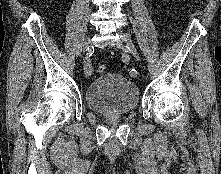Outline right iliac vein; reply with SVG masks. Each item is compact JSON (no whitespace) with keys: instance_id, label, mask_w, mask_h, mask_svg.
<instances>
[{"instance_id":"obj_1","label":"right iliac vein","mask_w":221,"mask_h":174,"mask_svg":"<svg viewBox=\"0 0 221 174\" xmlns=\"http://www.w3.org/2000/svg\"><path fill=\"white\" fill-rule=\"evenodd\" d=\"M90 46H91V38L88 37V38L85 40L84 45H83L84 51L89 50ZM85 58H86V57H85Z\"/></svg>"}]
</instances>
